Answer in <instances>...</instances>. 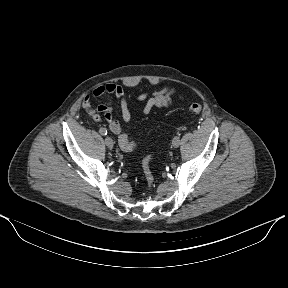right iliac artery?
<instances>
[{
    "label": "right iliac artery",
    "instance_id": "1",
    "mask_svg": "<svg viewBox=\"0 0 288 288\" xmlns=\"http://www.w3.org/2000/svg\"><path fill=\"white\" fill-rule=\"evenodd\" d=\"M99 133L103 136L107 135V130L106 128H100Z\"/></svg>",
    "mask_w": 288,
    "mask_h": 288
}]
</instances>
